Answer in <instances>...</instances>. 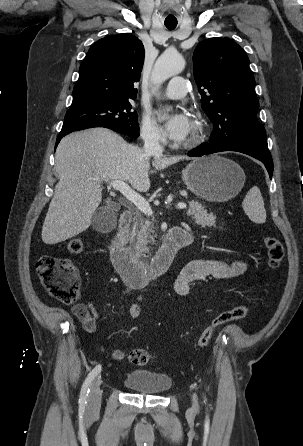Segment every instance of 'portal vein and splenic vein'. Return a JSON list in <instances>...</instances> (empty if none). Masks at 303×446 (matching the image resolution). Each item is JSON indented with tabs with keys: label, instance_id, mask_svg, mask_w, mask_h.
I'll return each instance as SVG.
<instances>
[{
	"label": "portal vein and splenic vein",
	"instance_id": "1",
	"mask_svg": "<svg viewBox=\"0 0 303 446\" xmlns=\"http://www.w3.org/2000/svg\"><path fill=\"white\" fill-rule=\"evenodd\" d=\"M110 186H112L115 190H118L127 200H129L131 203H133L138 210H140L143 214L147 216H152L153 211L149 205V202L145 200L144 197H142L140 194H138L136 191H134L127 183L123 181H111L109 183ZM186 203L179 202L176 205L177 209H185Z\"/></svg>",
	"mask_w": 303,
	"mask_h": 446
}]
</instances>
